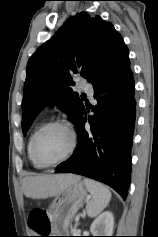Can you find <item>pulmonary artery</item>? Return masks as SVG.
Listing matches in <instances>:
<instances>
[{"label":"pulmonary artery","instance_id":"e3ab8cb5","mask_svg":"<svg viewBox=\"0 0 158 237\" xmlns=\"http://www.w3.org/2000/svg\"><path fill=\"white\" fill-rule=\"evenodd\" d=\"M84 88H85V90H87V91H89V92L92 91V86L89 85V84H86V85L84 86Z\"/></svg>","mask_w":158,"mask_h":237}]
</instances>
